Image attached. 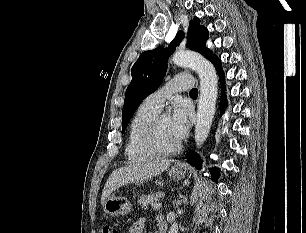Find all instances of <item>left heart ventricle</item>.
<instances>
[{
  "mask_svg": "<svg viewBox=\"0 0 306 233\" xmlns=\"http://www.w3.org/2000/svg\"><path fill=\"white\" fill-rule=\"evenodd\" d=\"M157 139L159 145L164 149L173 148L178 144L170 131L168 117L162 116L160 118L157 129Z\"/></svg>",
  "mask_w": 306,
  "mask_h": 233,
  "instance_id": "obj_1",
  "label": "left heart ventricle"
}]
</instances>
